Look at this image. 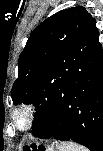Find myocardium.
Listing matches in <instances>:
<instances>
[{
  "label": "myocardium",
  "instance_id": "obj_1",
  "mask_svg": "<svg viewBox=\"0 0 103 151\" xmlns=\"http://www.w3.org/2000/svg\"><path fill=\"white\" fill-rule=\"evenodd\" d=\"M11 123L19 132H29L32 130L38 121V109L31 101H20L13 106L10 111ZM23 119L24 123L21 125L19 120Z\"/></svg>",
  "mask_w": 103,
  "mask_h": 151
}]
</instances>
